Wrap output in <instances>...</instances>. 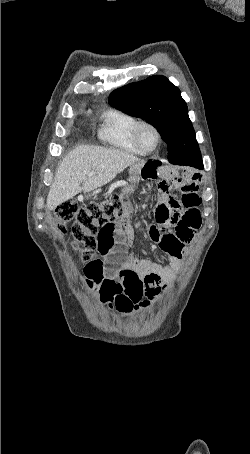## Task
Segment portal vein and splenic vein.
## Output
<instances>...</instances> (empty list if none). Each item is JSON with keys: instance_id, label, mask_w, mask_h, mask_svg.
Instances as JSON below:
<instances>
[{"instance_id": "obj_1", "label": "portal vein and splenic vein", "mask_w": 250, "mask_h": 454, "mask_svg": "<svg viewBox=\"0 0 250 454\" xmlns=\"http://www.w3.org/2000/svg\"><path fill=\"white\" fill-rule=\"evenodd\" d=\"M93 173H89L88 176H91Z\"/></svg>"}]
</instances>
